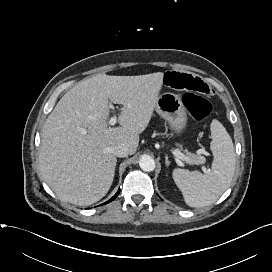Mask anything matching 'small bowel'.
I'll return each mask as SVG.
<instances>
[{
    "label": "small bowel",
    "instance_id": "c3829d8e",
    "mask_svg": "<svg viewBox=\"0 0 272 272\" xmlns=\"http://www.w3.org/2000/svg\"><path fill=\"white\" fill-rule=\"evenodd\" d=\"M164 84L172 89L185 91L197 95H209L210 86L200 77L179 71L166 72L163 78Z\"/></svg>",
    "mask_w": 272,
    "mask_h": 272
}]
</instances>
